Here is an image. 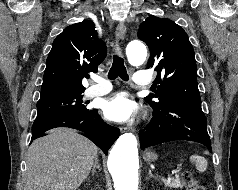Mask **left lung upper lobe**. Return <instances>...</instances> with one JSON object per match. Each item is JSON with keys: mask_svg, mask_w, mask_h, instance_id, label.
<instances>
[{"mask_svg": "<svg viewBox=\"0 0 238 190\" xmlns=\"http://www.w3.org/2000/svg\"><path fill=\"white\" fill-rule=\"evenodd\" d=\"M137 35L151 52L147 69L157 71V90L146 102L152 108L178 101L201 103L195 54L187 33L172 20L149 16Z\"/></svg>", "mask_w": 238, "mask_h": 190, "instance_id": "left-lung-upper-lobe-1", "label": "left lung upper lobe"}]
</instances>
